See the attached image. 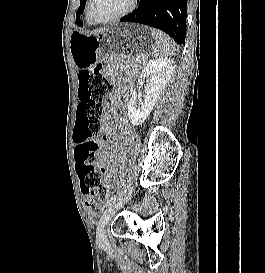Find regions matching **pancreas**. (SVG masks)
<instances>
[{"mask_svg":"<svg viewBox=\"0 0 265 273\" xmlns=\"http://www.w3.org/2000/svg\"><path fill=\"white\" fill-rule=\"evenodd\" d=\"M132 62L135 63V64H137V65H141V64L145 63L143 57H137L136 59H133Z\"/></svg>","mask_w":265,"mask_h":273,"instance_id":"obj_1","label":"pancreas"}]
</instances>
